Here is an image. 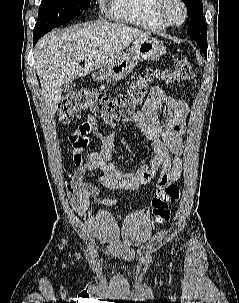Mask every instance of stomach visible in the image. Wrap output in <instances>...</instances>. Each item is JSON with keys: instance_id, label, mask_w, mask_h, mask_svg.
Here are the masks:
<instances>
[{"instance_id": "stomach-1", "label": "stomach", "mask_w": 239, "mask_h": 303, "mask_svg": "<svg viewBox=\"0 0 239 303\" xmlns=\"http://www.w3.org/2000/svg\"><path fill=\"white\" fill-rule=\"evenodd\" d=\"M165 52L164 45L156 38L147 36L137 39L128 52L121 53L113 63L93 74L92 78L97 82L120 81L133 70L138 62L159 59Z\"/></svg>"}]
</instances>
